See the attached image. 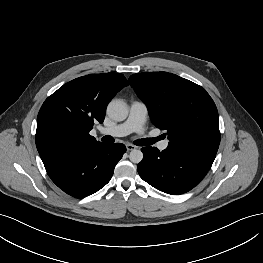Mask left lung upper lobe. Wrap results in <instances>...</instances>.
Segmentation results:
<instances>
[{
  "label": "left lung upper lobe",
  "instance_id": "1",
  "mask_svg": "<svg viewBox=\"0 0 263 263\" xmlns=\"http://www.w3.org/2000/svg\"><path fill=\"white\" fill-rule=\"evenodd\" d=\"M129 82L152 123L167 131L169 145L217 153L218 111L201 86L167 72L133 74Z\"/></svg>",
  "mask_w": 263,
  "mask_h": 263
}]
</instances>
